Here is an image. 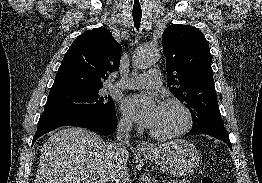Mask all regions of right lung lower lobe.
Wrapping results in <instances>:
<instances>
[{
    "label": "right lung lower lobe",
    "mask_w": 262,
    "mask_h": 183,
    "mask_svg": "<svg viewBox=\"0 0 262 183\" xmlns=\"http://www.w3.org/2000/svg\"><path fill=\"white\" fill-rule=\"evenodd\" d=\"M60 126L88 128L103 135L113 134L117 127L115 109L104 112H82L75 110H46L43 112L32 144L43 134Z\"/></svg>",
    "instance_id": "1"
}]
</instances>
